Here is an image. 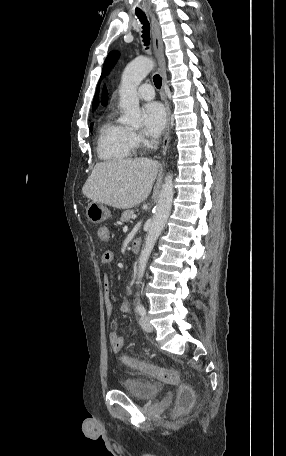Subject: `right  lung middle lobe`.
<instances>
[{
  "mask_svg": "<svg viewBox=\"0 0 286 456\" xmlns=\"http://www.w3.org/2000/svg\"><path fill=\"white\" fill-rule=\"evenodd\" d=\"M92 128H93V124H91V126H90V130H92Z\"/></svg>",
  "mask_w": 286,
  "mask_h": 456,
  "instance_id": "1",
  "label": "right lung middle lobe"
}]
</instances>
